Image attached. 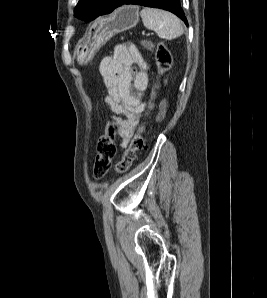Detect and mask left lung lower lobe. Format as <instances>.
Segmentation results:
<instances>
[{
  "mask_svg": "<svg viewBox=\"0 0 267 298\" xmlns=\"http://www.w3.org/2000/svg\"><path fill=\"white\" fill-rule=\"evenodd\" d=\"M124 4H137V5L147 6V7L165 9L177 15L187 25L186 18L180 6V0H116L113 6L109 9V11H107L104 14L111 13L115 8L122 6ZM104 14H101V15H104Z\"/></svg>",
  "mask_w": 267,
  "mask_h": 298,
  "instance_id": "obj_1",
  "label": "left lung lower lobe"
}]
</instances>
